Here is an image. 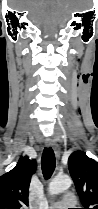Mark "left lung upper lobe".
<instances>
[{
  "label": "left lung upper lobe",
  "mask_w": 98,
  "mask_h": 209,
  "mask_svg": "<svg viewBox=\"0 0 98 209\" xmlns=\"http://www.w3.org/2000/svg\"><path fill=\"white\" fill-rule=\"evenodd\" d=\"M68 167L83 209H98V162L75 151L69 156Z\"/></svg>",
  "instance_id": "5c2ea615"
}]
</instances>
